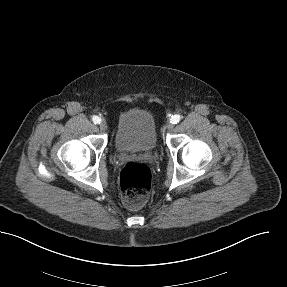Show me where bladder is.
Masks as SVG:
<instances>
[{"instance_id": "1", "label": "bladder", "mask_w": 287, "mask_h": 287, "mask_svg": "<svg viewBox=\"0 0 287 287\" xmlns=\"http://www.w3.org/2000/svg\"><path fill=\"white\" fill-rule=\"evenodd\" d=\"M156 144L155 120L149 111L132 108L120 114L115 134L119 152H149Z\"/></svg>"}]
</instances>
